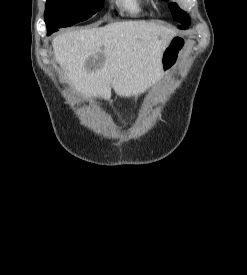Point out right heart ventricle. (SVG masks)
<instances>
[{"label": "right heart ventricle", "instance_id": "right-heart-ventricle-1", "mask_svg": "<svg viewBox=\"0 0 247 275\" xmlns=\"http://www.w3.org/2000/svg\"><path fill=\"white\" fill-rule=\"evenodd\" d=\"M117 7L131 15L143 12L150 4V0H114Z\"/></svg>", "mask_w": 247, "mask_h": 275}]
</instances>
